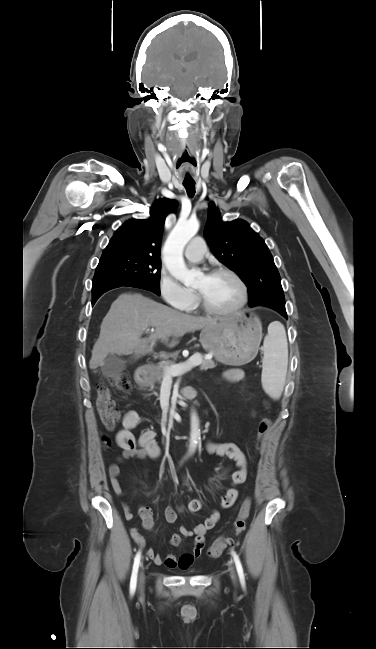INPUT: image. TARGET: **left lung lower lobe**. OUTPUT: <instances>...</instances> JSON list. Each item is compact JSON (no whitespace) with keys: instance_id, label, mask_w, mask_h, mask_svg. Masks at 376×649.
<instances>
[{"instance_id":"obj_1","label":"left lung lower lobe","mask_w":376,"mask_h":649,"mask_svg":"<svg viewBox=\"0 0 376 649\" xmlns=\"http://www.w3.org/2000/svg\"><path fill=\"white\" fill-rule=\"evenodd\" d=\"M279 313L282 314L284 317L287 318L286 310H281V312H279Z\"/></svg>"}]
</instances>
